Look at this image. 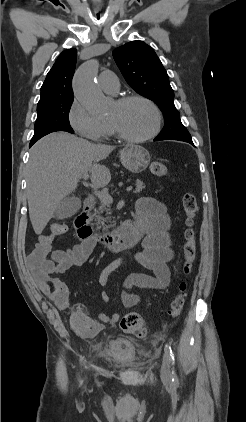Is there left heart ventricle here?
Returning a JSON list of instances; mask_svg holds the SVG:
<instances>
[{
    "instance_id": "obj_1",
    "label": "left heart ventricle",
    "mask_w": 246,
    "mask_h": 422,
    "mask_svg": "<svg viewBox=\"0 0 246 422\" xmlns=\"http://www.w3.org/2000/svg\"><path fill=\"white\" fill-rule=\"evenodd\" d=\"M108 120L117 124L127 134L140 137L153 129L156 117L149 105L134 101L123 106L115 103Z\"/></svg>"
}]
</instances>
